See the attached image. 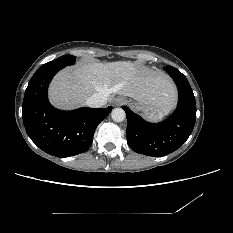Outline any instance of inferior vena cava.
<instances>
[{
	"mask_svg": "<svg viewBox=\"0 0 233 233\" xmlns=\"http://www.w3.org/2000/svg\"><path fill=\"white\" fill-rule=\"evenodd\" d=\"M107 95L104 93H95L86 100V105L92 108H100L107 103Z\"/></svg>",
	"mask_w": 233,
	"mask_h": 233,
	"instance_id": "inferior-vena-cava-1",
	"label": "inferior vena cava"
}]
</instances>
